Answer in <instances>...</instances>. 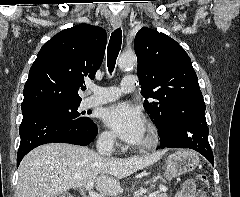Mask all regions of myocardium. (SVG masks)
<instances>
[{
  "label": "myocardium",
  "mask_w": 240,
  "mask_h": 197,
  "mask_svg": "<svg viewBox=\"0 0 240 197\" xmlns=\"http://www.w3.org/2000/svg\"><path fill=\"white\" fill-rule=\"evenodd\" d=\"M160 143V135L157 128L149 125L146 130V139L138 143L135 147L140 151H149L155 149Z\"/></svg>",
  "instance_id": "obj_1"
}]
</instances>
